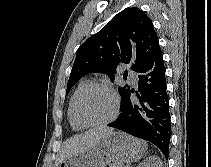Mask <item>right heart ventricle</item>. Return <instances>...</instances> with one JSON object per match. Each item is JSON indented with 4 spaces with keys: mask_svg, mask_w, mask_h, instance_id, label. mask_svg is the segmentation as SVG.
Segmentation results:
<instances>
[{
    "mask_svg": "<svg viewBox=\"0 0 211 167\" xmlns=\"http://www.w3.org/2000/svg\"><path fill=\"white\" fill-rule=\"evenodd\" d=\"M87 83L86 80H82L79 85L77 86V88L75 89V91L73 92L71 98H70V101H69V104H68V110H67V116H68V120H69V123H70V126L72 127L73 130H81L83 129L84 127L83 126H80L79 124H77L73 118H72V113H71V109H72V102H73V99L76 95V93Z\"/></svg>",
    "mask_w": 211,
    "mask_h": 167,
    "instance_id": "right-heart-ventricle-1",
    "label": "right heart ventricle"
}]
</instances>
